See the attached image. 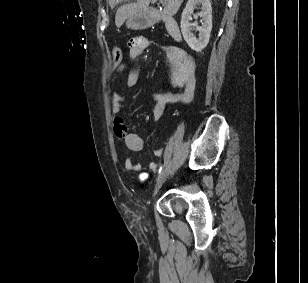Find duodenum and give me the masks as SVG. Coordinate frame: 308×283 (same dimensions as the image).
Masks as SVG:
<instances>
[{
	"mask_svg": "<svg viewBox=\"0 0 308 283\" xmlns=\"http://www.w3.org/2000/svg\"><path fill=\"white\" fill-rule=\"evenodd\" d=\"M145 22L149 25L163 22L169 36L177 42L181 41V31L173 17L164 15L155 9H148L145 14Z\"/></svg>",
	"mask_w": 308,
	"mask_h": 283,
	"instance_id": "1",
	"label": "duodenum"
}]
</instances>
